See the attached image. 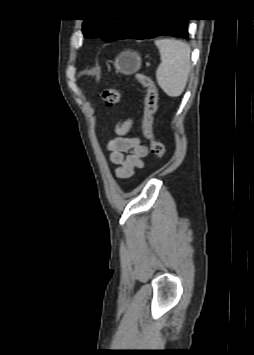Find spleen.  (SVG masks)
I'll list each match as a JSON object with an SVG mask.
<instances>
[{"mask_svg": "<svg viewBox=\"0 0 254 355\" xmlns=\"http://www.w3.org/2000/svg\"><path fill=\"white\" fill-rule=\"evenodd\" d=\"M155 44L161 58L156 71L157 83L168 96L178 97L188 81L191 49L186 43L175 39H160Z\"/></svg>", "mask_w": 254, "mask_h": 355, "instance_id": "3e777b00", "label": "spleen"}]
</instances>
